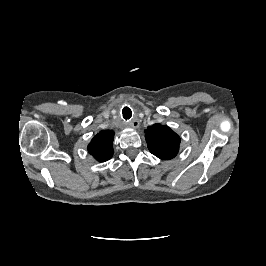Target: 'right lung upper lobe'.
<instances>
[{
    "label": "right lung upper lobe",
    "mask_w": 266,
    "mask_h": 266,
    "mask_svg": "<svg viewBox=\"0 0 266 266\" xmlns=\"http://www.w3.org/2000/svg\"><path fill=\"white\" fill-rule=\"evenodd\" d=\"M114 131L102 130L89 143L88 152L99 162L109 160L113 151Z\"/></svg>",
    "instance_id": "cb5924a9"
}]
</instances>
